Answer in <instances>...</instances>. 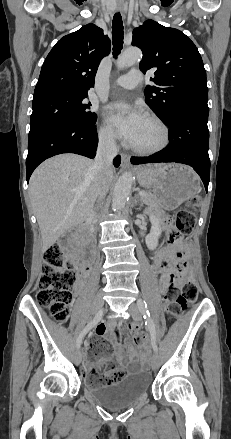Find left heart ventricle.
I'll return each instance as SVG.
<instances>
[{
	"instance_id": "left-heart-ventricle-1",
	"label": "left heart ventricle",
	"mask_w": 231,
	"mask_h": 439,
	"mask_svg": "<svg viewBox=\"0 0 231 439\" xmlns=\"http://www.w3.org/2000/svg\"><path fill=\"white\" fill-rule=\"evenodd\" d=\"M161 139V131L157 125L145 119L137 140L133 144L138 147H150Z\"/></svg>"
}]
</instances>
